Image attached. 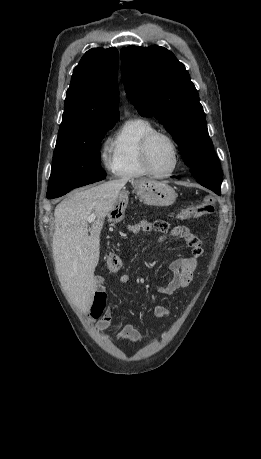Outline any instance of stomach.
Listing matches in <instances>:
<instances>
[{
  "mask_svg": "<svg viewBox=\"0 0 261 459\" xmlns=\"http://www.w3.org/2000/svg\"><path fill=\"white\" fill-rule=\"evenodd\" d=\"M134 190L139 199L147 205L157 207H167L172 205L177 197L174 189L165 182L151 179H139L134 181ZM116 206L110 212L113 221L118 220V215L124 213L128 192L124 189L120 192Z\"/></svg>",
  "mask_w": 261,
  "mask_h": 459,
  "instance_id": "stomach-1",
  "label": "stomach"
}]
</instances>
